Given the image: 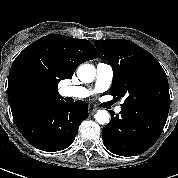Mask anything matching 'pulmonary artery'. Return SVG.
Returning <instances> with one entry per match:
<instances>
[{
  "label": "pulmonary artery",
  "instance_id": "e3ab8cb5",
  "mask_svg": "<svg viewBox=\"0 0 178 178\" xmlns=\"http://www.w3.org/2000/svg\"><path fill=\"white\" fill-rule=\"evenodd\" d=\"M113 80V69L107 63H98L96 66V81L94 92H103L107 90ZM60 93L64 97H72L82 99L89 97L93 92L82 86H63ZM116 112H120L121 108L116 107Z\"/></svg>",
  "mask_w": 178,
  "mask_h": 178
}]
</instances>
